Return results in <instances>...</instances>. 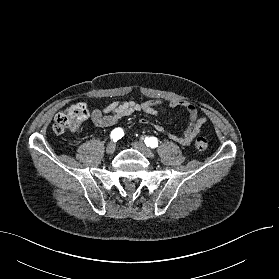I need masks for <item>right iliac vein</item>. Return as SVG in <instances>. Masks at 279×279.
Wrapping results in <instances>:
<instances>
[{"mask_svg": "<svg viewBox=\"0 0 279 279\" xmlns=\"http://www.w3.org/2000/svg\"><path fill=\"white\" fill-rule=\"evenodd\" d=\"M116 144L114 142H110L106 147V153L111 155L115 152Z\"/></svg>", "mask_w": 279, "mask_h": 279, "instance_id": "obj_1", "label": "right iliac vein"}]
</instances>
